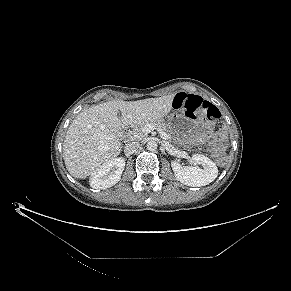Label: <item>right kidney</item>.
<instances>
[{
    "mask_svg": "<svg viewBox=\"0 0 291 291\" xmlns=\"http://www.w3.org/2000/svg\"><path fill=\"white\" fill-rule=\"evenodd\" d=\"M125 167V160L122 157L113 158L99 166L91 175L90 185L94 189H106L121 178Z\"/></svg>",
    "mask_w": 291,
    "mask_h": 291,
    "instance_id": "1",
    "label": "right kidney"
}]
</instances>
